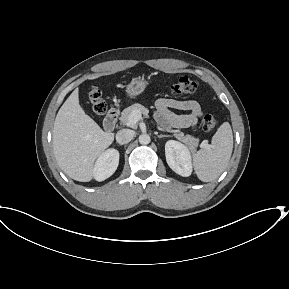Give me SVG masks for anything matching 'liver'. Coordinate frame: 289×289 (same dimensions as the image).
Segmentation results:
<instances>
[{"label": "liver", "instance_id": "1", "mask_svg": "<svg viewBox=\"0 0 289 289\" xmlns=\"http://www.w3.org/2000/svg\"><path fill=\"white\" fill-rule=\"evenodd\" d=\"M99 75L90 77L96 79ZM76 88L59 109L53 127V151L62 171L70 178L89 182L95 160L108 148L114 133L104 132L79 104Z\"/></svg>", "mask_w": 289, "mask_h": 289}]
</instances>
